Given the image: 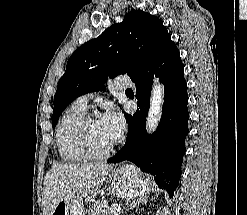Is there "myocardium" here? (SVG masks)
Returning <instances> with one entry per match:
<instances>
[{"label":"myocardium","mask_w":247,"mask_h":215,"mask_svg":"<svg viewBox=\"0 0 247 215\" xmlns=\"http://www.w3.org/2000/svg\"><path fill=\"white\" fill-rule=\"evenodd\" d=\"M97 118L94 115L84 116L76 126L75 136L77 144L84 155L89 159H103L108 157L114 152L117 142L115 141L110 147L104 150H98L93 147L89 139L88 126L90 123L96 121Z\"/></svg>","instance_id":"1"}]
</instances>
